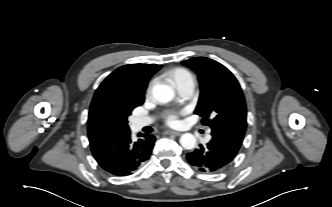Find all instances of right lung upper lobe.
Wrapping results in <instances>:
<instances>
[{"instance_id":"cb5924a9","label":"right lung upper lobe","mask_w":332,"mask_h":207,"mask_svg":"<svg viewBox=\"0 0 332 207\" xmlns=\"http://www.w3.org/2000/svg\"><path fill=\"white\" fill-rule=\"evenodd\" d=\"M161 68L160 65L130 64L119 67L100 84L93 97L89 118L90 144L112 138L115 134L103 122V114L115 108L122 100L141 101L149 79Z\"/></svg>"}]
</instances>
